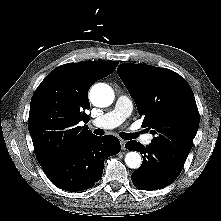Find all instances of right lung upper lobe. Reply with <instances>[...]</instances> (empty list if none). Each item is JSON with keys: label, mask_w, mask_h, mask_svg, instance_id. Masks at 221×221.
<instances>
[{"label": "right lung upper lobe", "mask_w": 221, "mask_h": 221, "mask_svg": "<svg viewBox=\"0 0 221 221\" xmlns=\"http://www.w3.org/2000/svg\"><path fill=\"white\" fill-rule=\"evenodd\" d=\"M118 61H83L61 65L35 90L30 103L28 129L42 168L95 136L87 126L88 90L111 74Z\"/></svg>", "instance_id": "cb5924a9"}]
</instances>
